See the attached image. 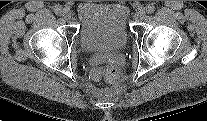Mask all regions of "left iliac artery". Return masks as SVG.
<instances>
[{
	"mask_svg": "<svg viewBox=\"0 0 207 121\" xmlns=\"http://www.w3.org/2000/svg\"><path fill=\"white\" fill-rule=\"evenodd\" d=\"M154 11H155V7H154V5H148V6L146 7V12H147V13L151 14V13H153Z\"/></svg>",
	"mask_w": 207,
	"mask_h": 121,
	"instance_id": "1",
	"label": "left iliac artery"
}]
</instances>
